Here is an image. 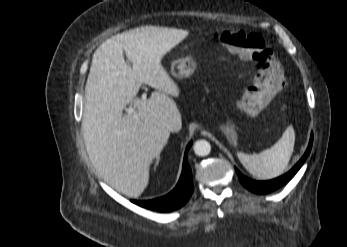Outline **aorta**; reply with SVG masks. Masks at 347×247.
Listing matches in <instances>:
<instances>
[{"label":"aorta","mask_w":347,"mask_h":247,"mask_svg":"<svg viewBox=\"0 0 347 247\" xmlns=\"http://www.w3.org/2000/svg\"><path fill=\"white\" fill-rule=\"evenodd\" d=\"M211 151V145L206 140H198L194 144V153L198 156H207Z\"/></svg>","instance_id":"obj_1"}]
</instances>
